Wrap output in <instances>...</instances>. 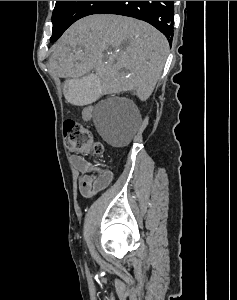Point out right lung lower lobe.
I'll return each instance as SVG.
<instances>
[{
    "label": "right lung lower lobe",
    "mask_w": 237,
    "mask_h": 300,
    "mask_svg": "<svg viewBox=\"0 0 237 300\" xmlns=\"http://www.w3.org/2000/svg\"><path fill=\"white\" fill-rule=\"evenodd\" d=\"M94 14H118L146 21L173 39V1H107Z\"/></svg>",
    "instance_id": "1"
}]
</instances>
